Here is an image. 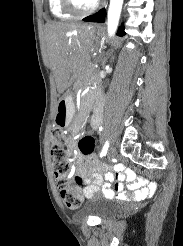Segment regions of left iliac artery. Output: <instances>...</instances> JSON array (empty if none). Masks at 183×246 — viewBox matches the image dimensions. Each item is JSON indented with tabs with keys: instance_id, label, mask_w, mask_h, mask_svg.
I'll use <instances>...</instances> for the list:
<instances>
[{
	"instance_id": "obj_1",
	"label": "left iliac artery",
	"mask_w": 183,
	"mask_h": 246,
	"mask_svg": "<svg viewBox=\"0 0 183 246\" xmlns=\"http://www.w3.org/2000/svg\"><path fill=\"white\" fill-rule=\"evenodd\" d=\"M108 148H109V141L107 140L100 152V158L106 155Z\"/></svg>"
}]
</instances>
